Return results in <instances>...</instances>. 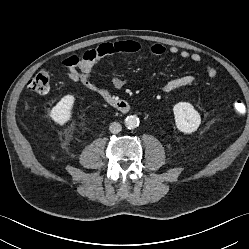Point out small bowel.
<instances>
[{
	"instance_id": "c3829d8e",
	"label": "small bowel",
	"mask_w": 249,
	"mask_h": 249,
	"mask_svg": "<svg viewBox=\"0 0 249 249\" xmlns=\"http://www.w3.org/2000/svg\"><path fill=\"white\" fill-rule=\"evenodd\" d=\"M144 48L138 41L135 40H117L112 42H104L96 48L85 53L83 57L72 56L64 60L63 64L66 68L67 77L74 82H80L88 90L99 95L109 93L104 86L95 84L92 81V69L100 60L115 56V55H138L143 52ZM150 52L153 55L161 56L165 53L172 55H179L183 59H188L199 63L202 58L198 53H192L187 50H180L177 46L166 47L161 43H155L150 46ZM206 74L209 78L216 76V70L213 67L206 66ZM196 82L194 75H184L167 81L161 91L163 93H170L177 89L188 87ZM111 83L116 89H122L126 80L118 75L111 77Z\"/></svg>"
}]
</instances>
